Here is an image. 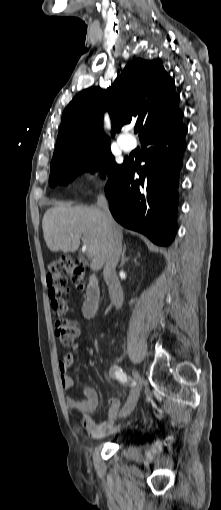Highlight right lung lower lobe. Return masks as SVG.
<instances>
[{"mask_svg":"<svg viewBox=\"0 0 221 510\" xmlns=\"http://www.w3.org/2000/svg\"><path fill=\"white\" fill-rule=\"evenodd\" d=\"M186 133L181 119L144 135L140 140L146 165L138 168L134 161H124L105 186L117 222L160 246L170 245L176 234L177 188ZM135 172L139 179L134 178Z\"/></svg>","mask_w":221,"mask_h":510,"instance_id":"98d812e1","label":"right lung lower lobe"}]
</instances>
